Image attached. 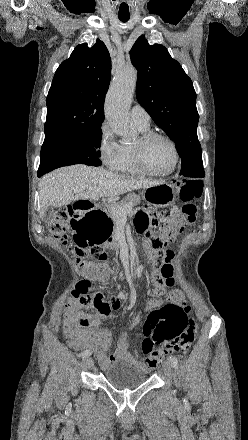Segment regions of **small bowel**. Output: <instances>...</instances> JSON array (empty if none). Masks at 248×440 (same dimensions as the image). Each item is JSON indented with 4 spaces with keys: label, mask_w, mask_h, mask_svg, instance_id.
I'll return each instance as SVG.
<instances>
[{
    "label": "small bowel",
    "mask_w": 248,
    "mask_h": 440,
    "mask_svg": "<svg viewBox=\"0 0 248 440\" xmlns=\"http://www.w3.org/2000/svg\"><path fill=\"white\" fill-rule=\"evenodd\" d=\"M151 225H154L151 216L146 211H141L136 217V227L139 232H143ZM149 270L153 271L151 274L152 284V298L146 301L145 309L153 310L159 308L167 303H176L185 307L184 295L179 290H174L165 298H160L167 292V289L172 288L176 284L175 267L173 266V259L171 257H154L149 260ZM102 296L101 303L95 307L96 317L90 316V322L96 323L98 318L108 317L113 310L120 306V299L124 295L111 296L109 300L105 299L104 294L96 289ZM84 309L80 308L75 301H71L64 311L63 330L68 338L69 347L79 350L86 349L94 351L99 365L102 369L108 368L111 364L117 361H124L132 364L138 368L146 369L152 368L147 359H140L136 355L130 354L128 351L129 337L127 333L120 335L116 347L112 353H108L112 345V336L107 329H92L78 322V316L83 314ZM140 317L137 316L131 323V328L139 324Z\"/></svg>",
    "instance_id": "small-bowel-1"
}]
</instances>
